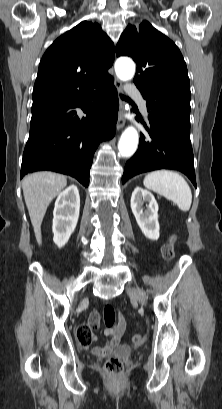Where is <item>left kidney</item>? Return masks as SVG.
Wrapping results in <instances>:
<instances>
[{"label":"left kidney","instance_id":"left-kidney-1","mask_svg":"<svg viewBox=\"0 0 222 409\" xmlns=\"http://www.w3.org/2000/svg\"><path fill=\"white\" fill-rule=\"evenodd\" d=\"M144 202H148L143 210ZM131 210L142 233L151 240L159 238L158 204L151 192L137 186L131 196Z\"/></svg>","mask_w":222,"mask_h":409}]
</instances>
